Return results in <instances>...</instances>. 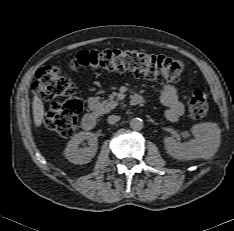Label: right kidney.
I'll use <instances>...</instances> for the list:
<instances>
[{"mask_svg":"<svg viewBox=\"0 0 234 231\" xmlns=\"http://www.w3.org/2000/svg\"><path fill=\"white\" fill-rule=\"evenodd\" d=\"M88 141V147L80 148V144ZM98 149L97 136L92 132H80L68 142L64 156L73 164H86L95 156Z\"/></svg>","mask_w":234,"mask_h":231,"instance_id":"obj_1","label":"right kidney"}]
</instances>
